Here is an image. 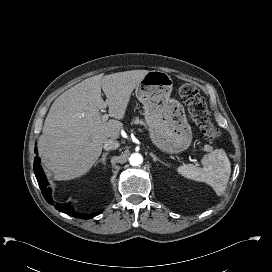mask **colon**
<instances>
[{
	"instance_id": "5ec220e1",
	"label": "colon",
	"mask_w": 272,
	"mask_h": 272,
	"mask_svg": "<svg viewBox=\"0 0 272 272\" xmlns=\"http://www.w3.org/2000/svg\"><path fill=\"white\" fill-rule=\"evenodd\" d=\"M180 99L187 106V109L199 126L201 132L209 141H215L219 137V132L210 121L209 112L205 99L201 96L198 89L189 83H180L177 86Z\"/></svg>"
}]
</instances>
